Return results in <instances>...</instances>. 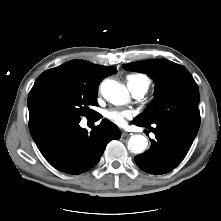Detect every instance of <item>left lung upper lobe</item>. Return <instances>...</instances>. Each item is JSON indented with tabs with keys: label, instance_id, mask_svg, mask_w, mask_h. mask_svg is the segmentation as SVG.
Wrapping results in <instances>:
<instances>
[{
	"label": "left lung upper lobe",
	"instance_id": "obj_1",
	"mask_svg": "<svg viewBox=\"0 0 221 221\" xmlns=\"http://www.w3.org/2000/svg\"><path fill=\"white\" fill-rule=\"evenodd\" d=\"M126 70L147 73L156 82L155 100L135 120L152 124L170 118H197L199 91L192 75L182 65L166 59L125 64Z\"/></svg>",
	"mask_w": 221,
	"mask_h": 221
}]
</instances>
